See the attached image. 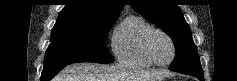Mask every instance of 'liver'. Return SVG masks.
I'll return each instance as SVG.
<instances>
[{
	"instance_id": "6515ba94",
	"label": "liver",
	"mask_w": 237,
	"mask_h": 81,
	"mask_svg": "<svg viewBox=\"0 0 237 81\" xmlns=\"http://www.w3.org/2000/svg\"><path fill=\"white\" fill-rule=\"evenodd\" d=\"M164 76L159 70L123 71L115 66L75 63L63 69L55 81H152Z\"/></svg>"
}]
</instances>
